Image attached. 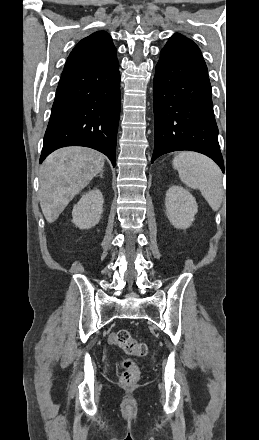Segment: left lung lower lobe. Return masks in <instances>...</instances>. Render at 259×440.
<instances>
[{"mask_svg": "<svg viewBox=\"0 0 259 440\" xmlns=\"http://www.w3.org/2000/svg\"><path fill=\"white\" fill-rule=\"evenodd\" d=\"M155 143L152 163L180 150L202 153L224 171L208 70L198 46L175 34L160 52L154 77Z\"/></svg>", "mask_w": 259, "mask_h": 440, "instance_id": "obj_1", "label": "left lung lower lobe"}]
</instances>
